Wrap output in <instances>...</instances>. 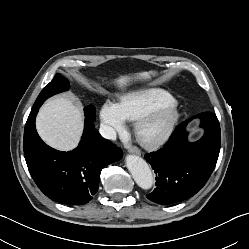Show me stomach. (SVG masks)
Returning <instances> with one entry per match:
<instances>
[{"label": "stomach", "instance_id": "obj_1", "mask_svg": "<svg viewBox=\"0 0 249 249\" xmlns=\"http://www.w3.org/2000/svg\"><path fill=\"white\" fill-rule=\"evenodd\" d=\"M153 73H154V72H151V71H150V72H148L147 74H148V76H149V75H151V74H153Z\"/></svg>", "mask_w": 249, "mask_h": 249}]
</instances>
